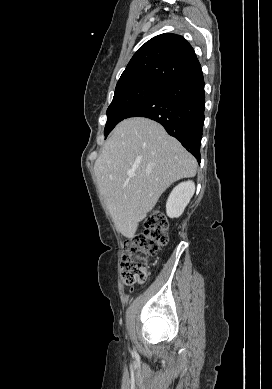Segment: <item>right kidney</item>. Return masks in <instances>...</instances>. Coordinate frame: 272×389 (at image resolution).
<instances>
[{
  "instance_id": "right-kidney-1",
  "label": "right kidney",
  "mask_w": 272,
  "mask_h": 389,
  "mask_svg": "<svg viewBox=\"0 0 272 389\" xmlns=\"http://www.w3.org/2000/svg\"><path fill=\"white\" fill-rule=\"evenodd\" d=\"M195 192L193 181H186L178 184L170 193L166 203V213L169 218H178L184 212Z\"/></svg>"
}]
</instances>
